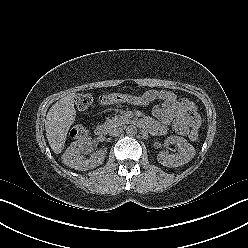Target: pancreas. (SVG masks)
<instances>
[{"mask_svg":"<svg viewBox=\"0 0 248 248\" xmlns=\"http://www.w3.org/2000/svg\"><path fill=\"white\" fill-rule=\"evenodd\" d=\"M130 121V119L125 116H115L112 119H107L105 122V126L109 127V128H113L114 126H120L123 124H126Z\"/></svg>","mask_w":248,"mask_h":248,"instance_id":"obj_1","label":"pancreas"}]
</instances>
